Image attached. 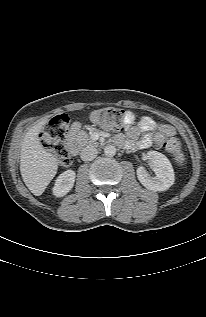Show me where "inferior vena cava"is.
<instances>
[{
    "label": "inferior vena cava",
    "instance_id": "inferior-vena-cava-1",
    "mask_svg": "<svg viewBox=\"0 0 206 317\" xmlns=\"http://www.w3.org/2000/svg\"><path fill=\"white\" fill-rule=\"evenodd\" d=\"M97 149L93 146H87L82 149L80 157L83 161H91L97 156Z\"/></svg>",
    "mask_w": 206,
    "mask_h": 317
}]
</instances>
